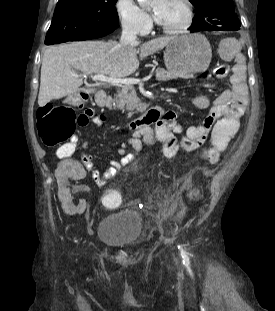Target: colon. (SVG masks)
<instances>
[{
	"instance_id": "5ec220e1",
	"label": "colon",
	"mask_w": 275,
	"mask_h": 311,
	"mask_svg": "<svg viewBox=\"0 0 275 311\" xmlns=\"http://www.w3.org/2000/svg\"><path fill=\"white\" fill-rule=\"evenodd\" d=\"M228 67L220 64L215 69L216 76H226ZM82 94H75L73 100L81 101ZM37 131L42 143L48 147L59 146L58 154L69 157L73 154L74 144L69 142L76 126H85L90 122L89 114L84 111L76 113L70 106L46 105L37 111ZM216 132L212 146L205 152L204 158L208 163L218 161L221 153L227 148L230 139L235 135V130H242L240 118H217ZM119 197L116 190L110 187L104 191V203L109 207L118 205Z\"/></svg>"
}]
</instances>
